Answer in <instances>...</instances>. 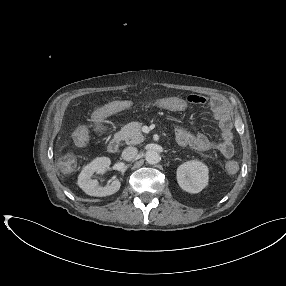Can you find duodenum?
<instances>
[{
    "label": "duodenum",
    "mask_w": 286,
    "mask_h": 286,
    "mask_svg": "<svg viewBox=\"0 0 286 286\" xmlns=\"http://www.w3.org/2000/svg\"><path fill=\"white\" fill-rule=\"evenodd\" d=\"M119 146H120V138L117 136L111 137L107 143V148L111 153L117 152Z\"/></svg>",
    "instance_id": "obj_1"
}]
</instances>
